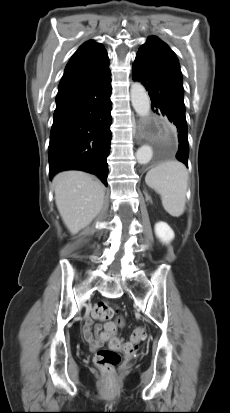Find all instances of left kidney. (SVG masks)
<instances>
[{
    "mask_svg": "<svg viewBox=\"0 0 230 413\" xmlns=\"http://www.w3.org/2000/svg\"><path fill=\"white\" fill-rule=\"evenodd\" d=\"M155 234L163 243H169L175 236L173 230L165 222H158L155 225Z\"/></svg>",
    "mask_w": 230,
    "mask_h": 413,
    "instance_id": "left-kidney-1",
    "label": "left kidney"
}]
</instances>
